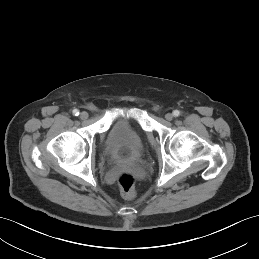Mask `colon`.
Returning a JSON list of instances; mask_svg holds the SVG:
<instances>
[{"instance_id":"obj_1","label":"colon","mask_w":259,"mask_h":259,"mask_svg":"<svg viewBox=\"0 0 259 259\" xmlns=\"http://www.w3.org/2000/svg\"><path fill=\"white\" fill-rule=\"evenodd\" d=\"M118 185L124 197L133 198L136 196V179L133 174L122 172L118 177Z\"/></svg>"}]
</instances>
